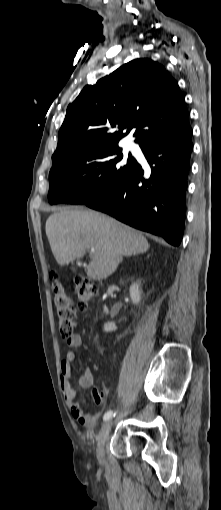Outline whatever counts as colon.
Masks as SVG:
<instances>
[{"mask_svg": "<svg viewBox=\"0 0 221 510\" xmlns=\"http://www.w3.org/2000/svg\"><path fill=\"white\" fill-rule=\"evenodd\" d=\"M50 277L59 332L63 338H70L76 327L77 309L74 307L71 297L62 284L59 274L56 271H52ZM74 291L79 309L85 310L89 302L96 295L97 286L89 277L78 274L75 276ZM93 396L97 404L104 403L103 395L97 390L93 391Z\"/></svg>", "mask_w": 221, "mask_h": 510, "instance_id": "5ec220e1", "label": "colon"}]
</instances>
